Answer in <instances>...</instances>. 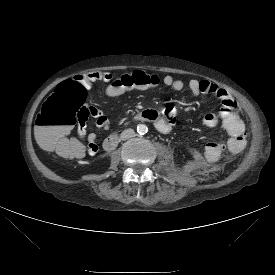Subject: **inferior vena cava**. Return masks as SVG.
I'll list each match as a JSON object with an SVG mask.
<instances>
[{
  "instance_id": "602c4592",
  "label": "inferior vena cava",
  "mask_w": 275,
  "mask_h": 275,
  "mask_svg": "<svg viewBox=\"0 0 275 275\" xmlns=\"http://www.w3.org/2000/svg\"><path fill=\"white\" fill-rule=\"evenodd\" d=\"M134 135H135L134 130L131 129V128H129V129L124 130L121 133L120 138H121V140H127V139H129L131 137H134Z\"/></svg>"
}]
</instances>
